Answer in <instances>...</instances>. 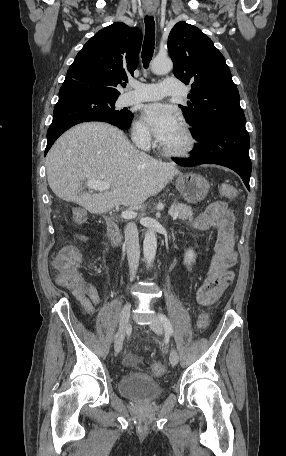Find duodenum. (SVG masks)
I'll list each match as a JSON object with an SVG mask.
<instances>
[{
  "label": "duodenum",
  "instance_id": "obj_1",
  "mask_svg": "<svg viewBox=\"0 0 286 456\" xmlns=\"http://www.w3.org/2000/svg\"><path fill=\"white\" fill-rule=\"evenodd\" d=\"M108 235L111 239V241L116 244L117 246H120L122 244V235L119 229V226L117 222L114 220H110L108 222Z\"/></svg>",
  "mask_w": 286,
  "mask_h": 456
}]
</instances>
